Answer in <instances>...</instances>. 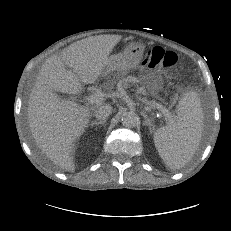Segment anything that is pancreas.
<instances>
[{
    "mask_svg": "<svg viewBox=\"0 0 231 231\" xmlns=\"http://www.w3.org/2000/svg\"><path fill=\"white\" fill-rule=\"evenodd\" d=\"M133 79H134V78H133L132 76H127V77H125L124 75H121V76H119V78H118V84H119L120 86L125 87V86H128V85H129L128 83L132 82ZM142 92L144 93V91H142ZM150 103L153 105L154 108H157V107H160V106H161L160 104H158V103H156V102H150Z\"/></svg>",
    "mask_w": 231,
    "mask_h": 231,
    "instance_id": "1",
    "label": "pancreas"
}]
</instances>
